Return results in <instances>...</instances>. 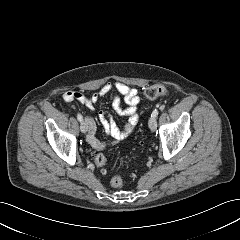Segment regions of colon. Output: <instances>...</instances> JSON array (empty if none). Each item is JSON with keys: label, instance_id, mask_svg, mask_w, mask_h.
I'll list each match as a JSON object with an SVG mask.
<instances>
[{"label": "colon", "instance_id": "1", "mask_svg": "<svg viewBox=\"0 0 240 240\" xmlns=\"http://www.w3.org/2000/svg\"><path fill=\"white\" fill-rule=\"evenodd\" d=\"M167 93V88L164 85H152L145 89L144 97L146 99L152 100L161 97ZM96 165L102 170H106L107 161L104 155L98 154L95 158ZM111 186L114 188H119L123 184V178L120 175H115L112 177Z\"/></svg>", "mask_w": 240, "mask_h": 240}]
</instances>
